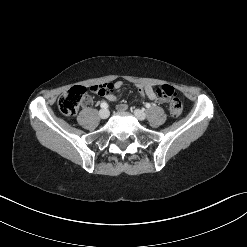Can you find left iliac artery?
Instances as JSON below:
<instances>
[{"mask_svg":"<svg viewBox=\"0 0 247 247\" xmlns=\"http://www.w3.org/2000/svg\"><path fill=\"white\" fill-rule=\"evenodd\" d=\"M146 108H150L151 107V104L150 103H146Z\"/></svg>","mask_w":247,"mask_h":247,"instance_id":"44dca946","label":"left iliac artery"}]
</instances>
